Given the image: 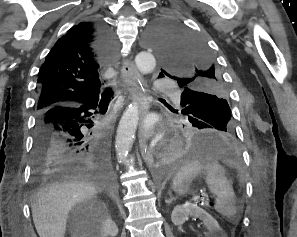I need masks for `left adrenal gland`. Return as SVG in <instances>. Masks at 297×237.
<instances>
[{"label": "left adrenal gland", "instance_id": "left-adrenal-gland-1", "mask_svg": "<svg viewBox=\"0 0 297 237\" xmlns=\"http://www.w3.org/2000/svg\"><path fill=\"white\" fill-rule=\"evenodd\" d=\"M169 196H170V199L169 200H165V202L170 205L174 200H176L173 196H172V193L171 191L168 192Z\"/></svg>", "mask_w": 297, "mask_h": 237}]
</instances>
